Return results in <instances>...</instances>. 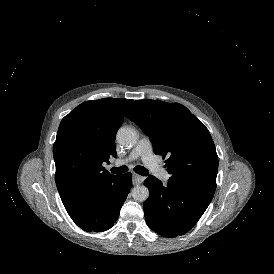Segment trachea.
<instances>
[{"mask_svg":"<svg viewBox=\"0 0 274 274\" xmlns=\"http://www.w3.org/2000/svg\"><path fill=\"white\" fill-rule=\"evenodd\" d=\"M127 171H128L127 166L113 167L111 169V172L114 174H121V173H125ZM134 171L140 175H143V176L149 175V171L145 167H142V166H135Z\"/></svg>","mask_w":274,"mask_h":274,"instance_id":"obj_1","label":"trachea"}]
</instances>
